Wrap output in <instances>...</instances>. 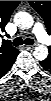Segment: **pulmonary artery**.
Listing matches in <instances>:
<instances>
[{
    "label": "pulmonary artery",
    "mask_w": 51,
    "mask_h": 101,
    "mask_svg": "<svg viewBox=\"0 0 51 101\" xmlns=\"http://www.w3.org/2000/svg\"><path fill=\"white\" fill-rule=\"evenodd\" d=\"M33 32L39 40L44 43H48V36H46L45 32L39 24L35 25Z\"/></svg>",
    "instance_id": "obj_1"
}]
</instances>
